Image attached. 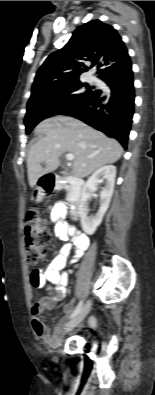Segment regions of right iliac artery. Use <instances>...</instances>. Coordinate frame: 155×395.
<instances>
[{"instance_id": "right-iliac-artery-1", "label": "right iliac artery", "mask_w": 155, "mask_h": 395, "mask_svg": "<svg viewBox=\"0 0 155 395\" xmlns=\"http://www.w3.org/2000/svg\"><path fill=\"white\" fill-rule=\"evenodd\" d=\"M82 306H83V302L80 301L77 307L75 308V310L73 311V313L71 314L70 318L75 317L81 311Z\"/></svg>"}]
</instances>
